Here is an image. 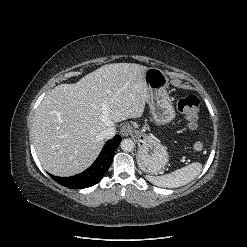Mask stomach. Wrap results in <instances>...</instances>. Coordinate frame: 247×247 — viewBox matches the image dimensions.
I'll return each instance as SVG.
<instances>
[{
	"label": "stomach",
	"mask_w": 247,
	"mask_h": 247,
	"mask_svg": "<svg viewBox=\"0 0 247 247\" xmlns=\"http://www.w3.org/2000/svg\"><path fill=\"white\" fill-rule=\"evenodd\" d=\"M148 88V105L157 125H165L175 118V109L167 92L168 77L158 68H147L144 74ZM138 163L148 174L155 175L163 171L169 161L167 148L145 134L138 133Z\"/></svg>",
	"instance_id": "obj_1"
}]
</instances>
